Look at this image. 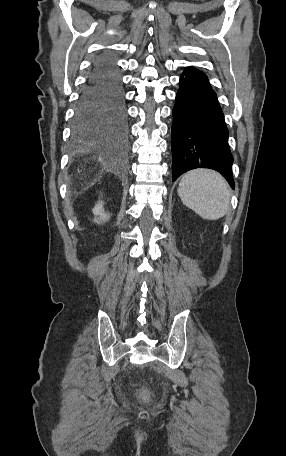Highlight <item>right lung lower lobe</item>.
<instances>
[{
  "label": "right lung lower lobe",
  "instance_id": "98d812e1",
  "mask_svg": "<svg viewBox=\"0 0 286 456\" xmlns=\"http://www.w3.org/2000/svg\"><path fill=\"white\" fill-rule=\"evenodd\" d=\"M90 123L114 126L126 124L127 113L120 73L112 59L98 57L80 94L75 111L74 127L79 130ZM128 127L126 128V130ZM120 138L121 135L114 130Z\"/></svg>",
  "mask_w": 286,
  "mask_h": 456
}]
</instances>
